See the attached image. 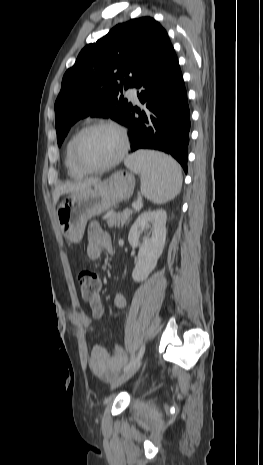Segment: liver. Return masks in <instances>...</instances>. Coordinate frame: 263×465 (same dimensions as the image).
<instances>
[{
  "label": "liver",
  "mask_w": 263,
  "mask_h": 465,
  "mask_svg": "<svg viewBox=\"0 0 263 465\" xmlns=\"http://www.w3.org/2000/svg\"><path fill=\"white\" fill-rule=\"evenodd\" d=\"M99 179H88L85 181H80V182H75V183H68V184H62L59 185L55 188L53 192V200L54 203L56 204L60 198L61 195L66 194V193H72V192H78L81 190H84L94 184L99 183Z\"/></svg>",
  "instance_id": "1"
}]
</instances>
